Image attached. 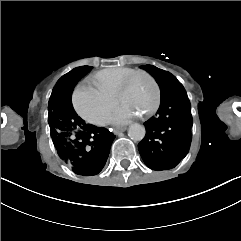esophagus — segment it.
Segmentation results:
<instances>
[{"mask_svg": "<svg viewBox=\"0 0 241 241\" xmlns=\"http://www.w3.org/2000/svg\"><path fill=\"white\" fill-rule=\"evenodd\" d=\"M124 131H126V128H115V129L113 130V133H114L115 135H118L119 133L124 132Z\"/></svg>", "mask_w": 241, "mask_h": 241, "instance_id": "34e87169", "label": "esophagus"}]
</instances>
